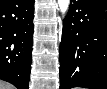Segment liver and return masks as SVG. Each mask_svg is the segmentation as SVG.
Instances as JSON below:
<instances>
[{"label":"liver","mask_w":107,"mask_h":89,"mask_svg":"<svg viewBox=\"0 0 107 89\" xmlns=\"http://www.w3.org/2000/svg\"><path fill=\"white\" fill-rule=\"evenodd\" d=\"M0 89H14L12 85L1 82Z\"/></svg>","instance_id":"liver-1"}]
</instances>
